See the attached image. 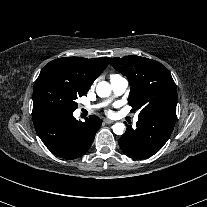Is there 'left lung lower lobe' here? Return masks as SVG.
Wrapping results in <instances>:
<instances>
[{
	"mask_svg": "<svg viewBox=\"0 0 207 207\" xmlns=\"http://www.w3.org/2000/svg\"><path fill=\"white\" fill-rule=\"evenodd\" d=\"M136 128L127 125L118 140L120 148L129 157L143 159L157 153L169 139L175 119L148 116L139 118Z\"/></svg>",
	"mask_w": 207,
	"mask_h": 207,
	"instance_id": "left-lung-lower-lobe-1",
	"label": "left lung lower lobe"
}]
</instances>
